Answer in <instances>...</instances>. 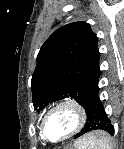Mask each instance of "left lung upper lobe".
I'll return each mask as SVG.
<instances>
[{
	"label": "left lung upper lobe",
	"mask_w": 124,
	"mask_h": 149,
	"mask_svg": "<svg viewBox=\"0 0 124 149\" xmlns=\"http://www.w3.org/2000/svg\"><path fill=\"white\" fill-rule=\"evenodd\" d=\"M97 43L86 22L67 24L45 41L31 81L35 109L69 97L87 109V100L98 90Z\"/></svg>",
	"instance_id": "obj_1"
}]
</instances>
